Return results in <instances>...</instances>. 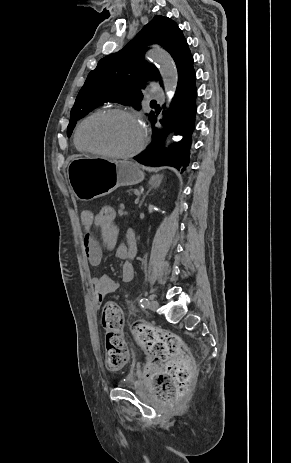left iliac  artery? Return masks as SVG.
I'll return each instance as SVG.
<instances>
[{
	"mask_svg": "<svg viewBox=\"0 0 291 463\" xmlns=\"http://www.w3.org/2000/svg\"><path fill=\"white\" fill-rule=\"evenodd\" d=\"M140 304L142 308H147L149 305V300L146 297L141 298Z\"/></svg>",
	"mask_w": 291,
	"mask_h": 463,
	"instance_id": "obj_1",
	"label": "left iliac artery"
}]
</instances>
